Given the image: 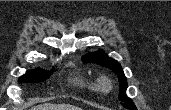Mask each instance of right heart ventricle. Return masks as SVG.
I'll use <instances>...</instances> for the list:
<instances>
[{
  "instance_id": "1",
  "label": "right heart ventricle",
  "mask_w": 171,
  "mask_h": 110,
  "mask_svg": "<svg viewBox=\"0 0 171 110\" xmlns=\"http://www.w3.org/2000/svg\"><path fill=\"white\" fill-rule=\"evenodd\" d=\"M76 83L81 86L93 88L92 84L85 82L83 79H76Z\"/></svg>"
}]
</instances>
